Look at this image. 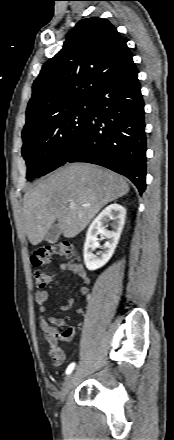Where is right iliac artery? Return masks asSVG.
Returning <instances> with one entry per match:
<instances>
[{
  "instance_id": "obj_1",
  "label": "right iliac artery",
  "mask_w": 174,
  "mask_h": 440,
  "mask_svg": "<svg viewBox=\"0 0 174 440\" xmlns=\"http://www.w3.org/2000/svg\"><path fill=\"white\" fill-rule=\"evenodd\" d=\"M74 367H75V363H71L66 370V374H70L74 369Z\"/></svg>"
}]
</instances>
